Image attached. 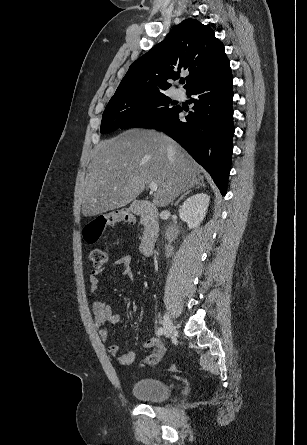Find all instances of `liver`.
I'll list each match as a JSON object with an SVG mask.
<instances>
[{
	"mask_svg": "<svg viewBox=\"0 0 307 445\" xmlns=\"http://www.w3.org/2000/svg\"><path fill=\"white\" fill-rule=\"evenodd\" d=\"M200 172L199 164L170 136L129 128L96 144L85 178L82 214L96 216L125 206L148 182H157L154 204L167 206L181 192L203 184Z\"/></svg>",
	"mask_w": 307,
	"mask_h": 445,
	"instance_id": "6515ba94",
	"label": "liver"
}]
</instances>
